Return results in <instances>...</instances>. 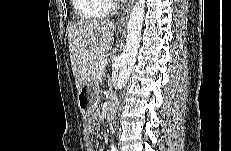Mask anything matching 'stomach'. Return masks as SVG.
I'll return each mask as SVG.
<instances>
[{
    "label": "stomach",
    "mask_w": 231,
    "mask_h": 151,
    "mask_svg": "<svg viewBox=\"0 0 231 151\" xmlns=\"http://www.w3.org/2000/svg\"><path fill=\"white\" fill-rule=\"evenodd\" d=\"M77 99L80 111L85 115H90L95 110L99 99L98 84L88 78L78 91Z\"/></svg>",
    "instance_id": "1"
}]
</instances>
